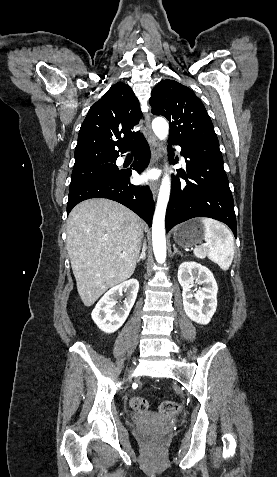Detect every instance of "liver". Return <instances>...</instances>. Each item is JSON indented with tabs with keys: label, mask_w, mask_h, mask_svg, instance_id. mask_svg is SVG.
Masks as SVG:
<instances>
[{
	"label": "liver",
	"mask_w": 277,
	"mask_h": 477,
	"mask_svg": "<svg viewBox=\"0 0 277 477\" xmlns=\"http://www.w3.org/2000/svg\"><path fill=\"white\" fill-rule=\"evenodd\" d=\"M144 222L125 206L104 198L76 205L67 220V252L85 306L133 274Z\"/></svg>",
	"instance_id": "obj_1"
}]
</instances>
